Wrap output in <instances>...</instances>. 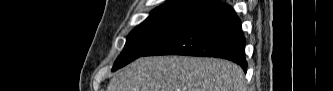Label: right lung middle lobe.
<instances>
[{
	"label": "right lung middle lobe",
	"instance_id": "1",
	"mask_svg": "<svg viewBox=\"0 0 333 91\" xmlns=\"http://www.w3.org/2000/svg\"><path fill=\"white\" fill-rule=\"evenodd\" d=\"M214 0H206L200 6L204 11ZM189 20L184 18L156 17L147 18L128 35L125 47L114 63L113 71L127 65L150 49L156 47L183 27Z\"/></svg>",
	"mask_w": 333,
	"mask_h": 91
}]
</instances>
